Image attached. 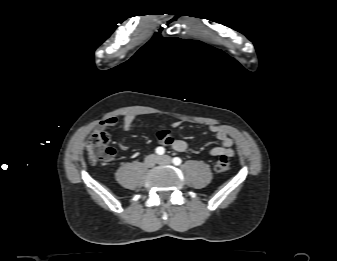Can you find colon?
I'll return each instance as SVG.
<instances>
[{
	"mask_svg": "<svg viewBox=\"0 0 337 261\" xmlns=\"http://www.w3.org/2000/svg\"><path fill=\"white\" fill-rule=\"evenodd\" d=\"M110 137L104 131H96L91 134L87 142V154L91 164H103L108 162L114 155L115 150L109 144ZM230 157L221 155L214 164L217 173H224L230 169Z\"/></svg>",
	"mask_w": 337,
	"mask_h": 261,
	"instance_id": "5ec220e1",
	"label": "colon"
}]
</instances>
